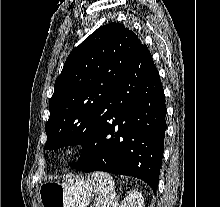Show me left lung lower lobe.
Here are the masks:
<instances>
[{
  "label": "left lung lower lobe",
  "instance_id": "0a47b994",
  "mask_svg": "<svg viewBox=\"0 0 220 207\" xmlns=\"http://www.w3.org/2000/svg\"><path fill=\"white\" fill-rule=\"evenodd\" d=\"M159 72L141 44L72 167L137 177L157 190L166 131Z\"/></svg>",
  "mask_w": 220,
  "mask_h": 207
}]
</instances>
